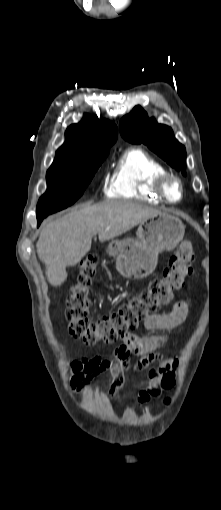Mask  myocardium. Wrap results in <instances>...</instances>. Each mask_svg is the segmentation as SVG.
<instances>
[{"label":"myocardium","mask_w":221,"mask_h":510,"mask_svg":"<svg viewBox=\"0 0 221 510\" xmlns=\"http://www.w3.org/2000/svg\"><path fill=\"white\" fill-rule=\"evenodd\" d=\"M171 184H174L178 190H179V197L178 198H172L170 193V186ZM154 191L157 194V196L166 203L169 204H177L182 201L184 198V186L182 181L179 177L176 175L165 172L161 175H159L154 183Z\"/></svg>","instance_id":"obj_1"}]
</instances>
